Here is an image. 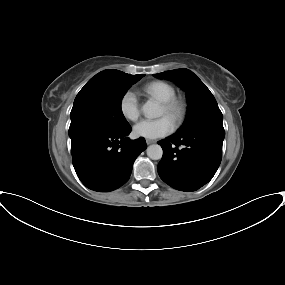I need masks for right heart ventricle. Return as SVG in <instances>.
<instances>
[{
	"label": "right heart ventricle",
	"mask_w": 285,
	"mask_h": 285,
	"mask_svg": "<svg viewBox=\"0 0 285 285\" xmlns=\"http://www.w3.org/2000/svg\"><path fill=\"white\" fill-rule=\"evenodd\" d=\"M142 91L160 102L167 101L176 95L175 87L163 80H155L147 83L142 87Z\"/></svg>",
	"instance_id": "obj_1"
}]
</instances>
